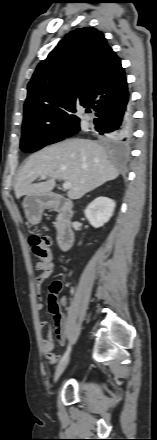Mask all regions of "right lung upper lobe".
Returning a JSON list of instances; mask_svg holds the SVG:
<instances>
[{
	"label": "right lung upper lobe",
	"instance_id": "obj_1",
	"mask_svg": "<svg viewBox=\"0 0 157 440\" xmlns=\"http://www.w3.org/2000/svg\"><path fill=\"white\" fill-rule=\"evenodd\" d=\"M128 96L121 61L103 33L93 27L76 29L37 66L28 84L23 125L79 124L74 114L79 105L100 112Z\"/></svg>",
	"mask_w": 157,
	"mask_h": 440
}]
</instances>
